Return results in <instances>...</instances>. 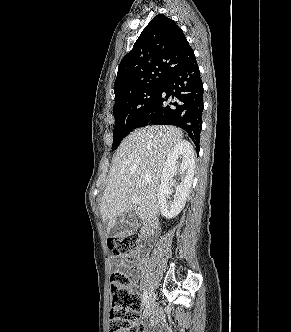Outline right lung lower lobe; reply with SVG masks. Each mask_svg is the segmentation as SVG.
Segmentation results:
<instances>
[{
  "mask_svg": "<svg viewBox=\"0 0 291 332\" xmlns=\"http://www.w3.org/2000/svg\"><path fill=\"white\" fill-rule=\"evenodd\" d=\"M203 86L195 59L171 72L143 113L137 127L174 125L185 130L199 151Z\"/></svg>",
  "mask_w": 291,
  "mask_h": 332,
  "instance_id": "98d812e1",
  "label": "right lung lower lobe"
}]
</instances>
